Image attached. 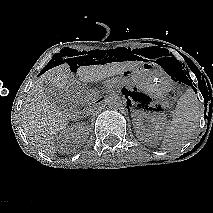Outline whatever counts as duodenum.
<instances>
[{
    "label": "duodenum",
    "instance_id": "1",
    "mask_svg": "<svg viewBox=\"0 0 213 213\" xmlns=\"http://www.w3.org/2000/svg\"><path fill=\"white\" fill-rule=\"evenodd\" d=\"M71 95H72L73 97H76V96H77V92H76V91H73V92L71 93ZM98 102H99V101H94V102H92V103H88V104L85 106V108H87V109L94 108V107L98 104Z\"/></svg>",
    "mask_w": 213,
    "mask_h": 213
}]
</instances>
